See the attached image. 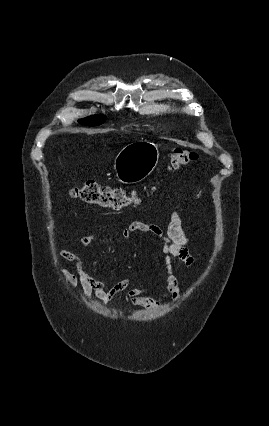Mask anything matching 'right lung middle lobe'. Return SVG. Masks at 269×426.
Listing matches in <instances>:
<instances>
[{
  "label": "right lung middle lobe",
  "instance_id": "obj_1",
  "mask_svg": "<svg viewBox=\"0 0 269 426\" xmlns=\"http://www.w3.org/2000/svg\"><path fill=\"white\" fill-rule=\"evenodd\" d=\"M105 120H106V117L101 116V115H99V116L95 115V116L87 117L85 119H81L78 122L80 124H83V125H86V126H97V125L104 123Z\"/></svg>",
  "mask_w": 269,
  "mask_h": 426
}]
</instances>
